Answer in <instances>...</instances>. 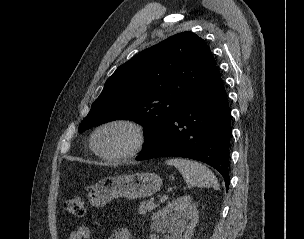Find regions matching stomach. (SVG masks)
<instances>
[{
    "label": "stomach",
    "instance_id": "stomach-1",
    "mask_svg": "<svg viewBox=\"0 0 304 239\" xmlns=\"http://www.w3.org/2000/svg\"><path fill=\"white\" fill-rule=\"evenodd\" d=\"M161 184L160 176L152 172L107 177L91 188L88 200L92 206L102 207L118 197L145 198L157 192Z\"/></svg>",
    "mask_w": 304,
    "mask_h": 239
}]
</instances>
